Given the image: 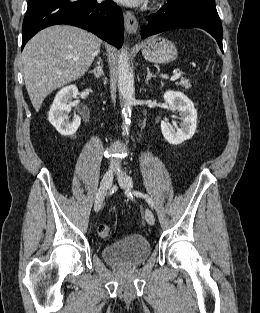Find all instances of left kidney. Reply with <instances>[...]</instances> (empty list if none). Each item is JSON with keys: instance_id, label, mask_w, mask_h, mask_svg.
I'll list each match as a JSON object with an SVG mask.
<instances>
[{"instance_id": "obj_1", "label": "left kidney", "mask_w": 260, "mask_h": 313, "mask_svg": "<svg viewBox=\"0 0 260 313\" xmlns=\"http://www.w3.org/2000/svg\"><path fill=\"white\" fill-rule=\"evenodd\" d=\"M164 100L171 110L179 112L182 123L180 128L175 129L167 121H161V131L167 142L179 145L194 135L197 127V111L193 102L182 92L166 91Z\"/></svg>"}]
</instances>
